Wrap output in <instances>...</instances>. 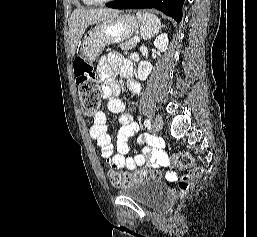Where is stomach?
Wrapping results in <instances>:
<instances>
[{"label": "stomach", "instance_id": "stomach-1", "mask_svg": "<svg viewBox=\"0 0 257 237\" xmlns=\"http://www.w3.org/2000/svg\"><path fill=\"white\" fill-rule=\"evenodd\" d=\"M139 27L140 21L134 15L117 12L85 34L80 44V56L93 62L105 46L128 40Z\"/></svg>", "mask_w": 257, "mask_h": 237}]
</instances>
